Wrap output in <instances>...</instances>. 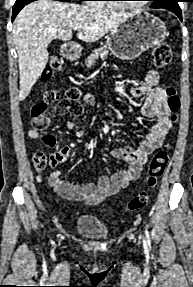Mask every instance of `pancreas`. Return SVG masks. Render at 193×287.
<instances>
[{
  "instance_id": "cf45deb5",
  "label": "pancreas",
  "mask_w": 193,
  "mask_h": 287,
  "mask_svg": "<svg viewBox=\"0 0 193 287\" xmlns=\"http://www.w3.org/2000/svg\"><path fill=\"white\" fill-rule=\"evenodd\" d=\"M108 55L109 51L103 47L95 49L93 53H91L90 56L85 59V65L87 67H91L96 63V60H98L99 58L106 59Z\"/></svg>"
}]
</instances>
